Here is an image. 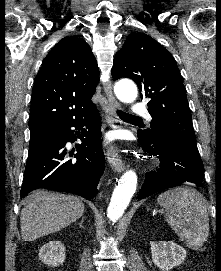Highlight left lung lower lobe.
<instances>
[{"label":"left lung lower lobe","instance_id":"1","mask_svg":"<svg viewBox=\"0 0 221 271\" xmlns=\"http://www.w3.org/2000/svg\"><path fill=\"white\" fill-rule=\"evenodd\" d=\"M138 140L151 157L158 155L161 161L157 171L145 175L140 199L183 182H192L197 186L202 184L204 166L197 145L161 127H152L149 132L139 130Z\"/></svg>","mask_w":221,"mask_h":271}]
</instances>
